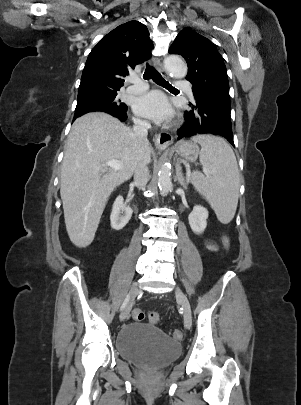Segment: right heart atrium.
<instances>
[{"mask_svg": "<svg viewBox=\"0 0 301 405\" xmlns=\"http://www.w3.org/2000/svg\"><path fill=\"white\" fill-rule=\"evenodd\" d=\"M135 122H136L137 124H139V125L144 124V121L141 120V119H135Z\"/></svg>", "mask_w": 301, "mask_h": 405, "instance_id": "d8ad5b80", "label": "right heart atrium"}]
</instances>
